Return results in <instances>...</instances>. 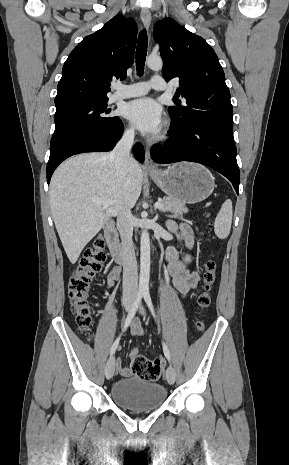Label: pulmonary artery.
Returning a JSON list of instances; mask_svg holds the SVG:
<instances>
[{
  "mask_svg": "<svg viewBox=\"0 0 289 465\" xmlns=\"http://www.w3.org/2000/svg\"><path fill=\"white\" fill-rule=\"evenodd\" d=\"M116 91L112 94V100L136 97L146 94L150 89L163 91L167 89L163 77L155 75L148 82H137L130 85L117 84Z\"/></svg>",
  "mask_w": 289,
  "mask_h": 465,
  "instance_id": "e3ab8cb5",
  "label": "pulmonary artery"
}]
</instances>
